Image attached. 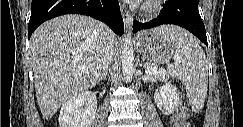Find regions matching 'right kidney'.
<instances>
[{"label": "right kidney", "mask_w": 243, "mask_h": 127, "mask_svg": "<svg viewBox=\"0 0 243 127\" xmlns=\"http://www.w3.org/2000/svg\"><path fill=\"white\" fill-rule=\"evenodd\" d=\"M97 109L96 94L81 92L66 101L60 110V127H91Z\"/></svg>", "instance_id": "right-kidney-1"}]
</instances>
